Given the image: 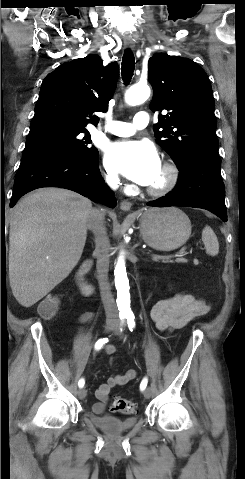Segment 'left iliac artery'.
Segmentation results:
<instances>
[{"mask_svg":"<svg viewBox=\"0 0 245 479\" xmlns=\"http://www.w3.org/2000/svg\"><path fill=\"white\" fill-rule=\"evenodd\" d=\"M126 319H127L128 327H129L130 331H132L133 328L135 327V321H134L135 316H134L133 314H129V315H127ZM147 383H148L147 378H144V379L141 381L140 389H141V390H144V389L146 388V386H147Z\"/></svg>","mask_w":245,"mask_h":479,"instance_id":"left-iliac-artery-1","label":"left iliac artery"}]
</instances>
